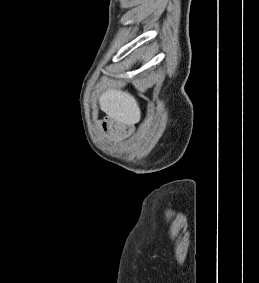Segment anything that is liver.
<instances>
[{
  "instance_id": "1",
  "label": "liver",
  "mask_w": 259,
  "mask_h": 283,
  "mask_svg": "<svg viewBox=\"0 0 259 283\" xmlns=\"http://www.w3.org/2000/svg\"><path fill=\"white\" fill-rule=\"evenodd\" d=\"M99 103L103 112L120 123L134 125L140 121L139 105L127 91L109 89L101 94Z\"/></svg>"
}]
</instances>
